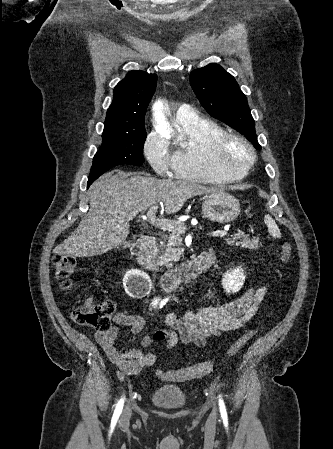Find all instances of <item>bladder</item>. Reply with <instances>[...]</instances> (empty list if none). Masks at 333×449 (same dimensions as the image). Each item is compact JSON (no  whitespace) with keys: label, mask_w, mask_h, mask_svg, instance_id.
I'll use <instances>...</instances> for the list:
<instances>
[{"label":"bladder","mask_w":333,"mask_h":449,"mask_svg":"<svg viewBox=\"0 0 333 449\" xmlns=\"http://www.w3.org/2000/svg\"><path fill=\"white\" fill-rule=\"evenodd\" d=\"M151 402L162 409H179L185 406L187 397L178 387L164 385L156 388L151 394Z\"/></svg>","instance_id":"1"}]
</instances>
